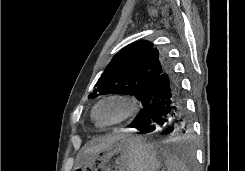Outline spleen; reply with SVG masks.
Listing matches in <instances>:
<instances>
[{"instance_id": "obj_1", "label": "spleen", "mask_w": 245, "mask_h": 171, "mask_svg": "<svg viewBox=\"0 0 245 171\" xmlns=\"http://www.w3.org/2000/svg\"><path fill=\"white\" fill-rule=\"evenodd\" d=\"M167 171H189L186 164L177 155L167 150H162Z\"/></svg>"}]
</instances>
